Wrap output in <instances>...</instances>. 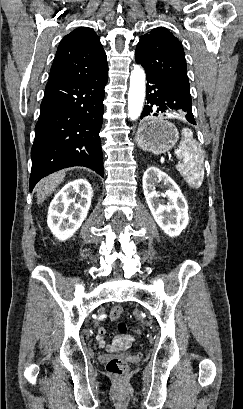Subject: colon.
Instances as JSON below:
<instances>
[{
	"label": "colon",
	"instance_id": "5ec220e1",
	"mask_svg": "<svg viewBox=\"0 0 243 409\" xmlns=\"http://www.w3.org/2000/svg\"><path fill=\"white\" fill-rule=\"evenodd\" d=\"M122 313L123 308L121 306H116L111 310L110 316L112 320H117L121 317ZM117 328L121 333H125L127 331V327L123 322H119ZM106 370L111 376L121 378L127 372V364L120 358H113L107 362Z\"/></svg>",
	"mask_w": 243,
	"mask_h": 409
}]
</instances>
